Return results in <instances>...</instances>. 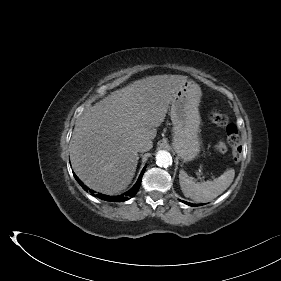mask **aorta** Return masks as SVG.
Returning a JSON list of instances; mask_svg holds the SVG:
<instances>
[{
	"label": "aorta",
	"mask_w": 281,
	"mask_h": 281,
	"mask_svg": "<svg viewBox=\"0 0 281 281\" xmlns=\"http://www.w3.org/2000/svg\"><path fill=\"white\" fill-rule=\"evenodd\" d=\"M156 163L160 167H168L172 164V157L169 152L161 150L156 155Z\"/></svg>",
	"instance_id": "obj_1"
}]
</instances>
